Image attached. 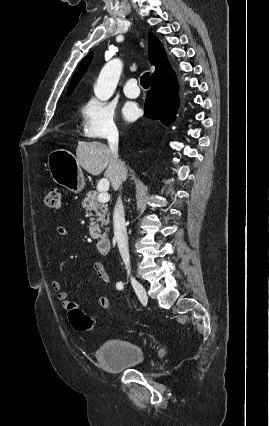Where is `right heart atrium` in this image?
<instances>
[{
	"label": "right heart atrium",
	"instance_id": "obj_1",
	"mask_svg": "<svg viewBox=\"0 0 269 426\" xmlns=\"http://www.w3.org/2000/svg\"><path fill=\"white\" fill-rule=\"evenodd\" d=\"M80 113V131L83 136L104 139L118 135L115 109L109 103L91 97L83 103Z\"/></svg>",
	"mask_w": 269,
	"mask_h": 426
}]
</instances>
